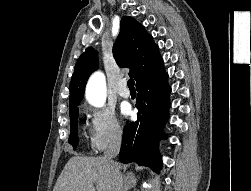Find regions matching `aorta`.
<instances>
[{
  "label": "aorta",
  "instance_id": "obj_1",
  "mask_svg": "<svg viewBox=\"0 0 251 191\" xmlns=\"http://www.w3.org/2000/svg\"><path fill=\"white\" fill-rule=\"evenodd\" d=\"M85 96L91 105H95V107H102L106 99V84L104 74H101V72H95V74L90 76L87 82Z\"/></svg>",
  "mask_w": 251,
  "mask_h": 191
}]
</instances>
